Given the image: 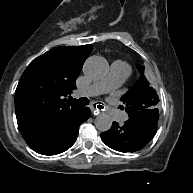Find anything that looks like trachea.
Returning a JSON list of instances; mask_svg holds the SVG:
<instances>
[{"label": "trachea", "mask_w": 193, "mask_h": 193, "mask_svg": "<svg viewBox=\"0 0 193 193\" xmlns=\"http://www.w3.org/2000/svg\"><path fill=\"white\" fill-rule=\"evenodd\" d=\"M71 102L77 103L81 106H86L89 104V99L86 97H81L79 99L71 98ZM100 104H102V103H100ZM97 108L98 109H104V106L103 105H97Z\"/></svg>", "instance_id": "trachea-1"}]
</instances>
